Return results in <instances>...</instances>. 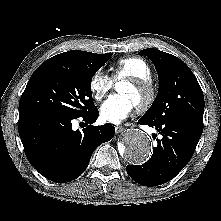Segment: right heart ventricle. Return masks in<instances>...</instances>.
I'll return each instance as SVG.
<instances>
[{
  "instance_id": "1",
  "label": "right heart ventricle",
  "mask_w": 221,
  "mask_h": 221,
  "mask_svg": "<svg viewBox=\"0 0 221 221\" xmlns=\"http://www.w3.org/2000/svg\"><path fill=\"white\" fill-rule=\"evenodd\" d=\"M113 79L139 78L150 79L152 71L150 65L140 57H124L116 61L112 67Z\"/></svg>"
}]
</instances>
